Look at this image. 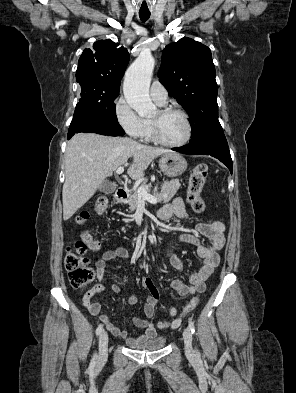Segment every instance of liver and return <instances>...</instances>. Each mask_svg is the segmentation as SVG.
Here are the masks:
<instances>
[{"label":"liver","mask_w":296,"mask_h":393,"mask_svg":"<svg viewBox=\"0 0 296 393\" xmlns=\"http://www.w3.org/2000/svg\"><path fill=\"white\" fill-rule=\"evenodd\" d=\"M166 153L171 151L142 145L127 137L75 134L67 143L64 159L63 219L71 218L118 167L129 166V176L141 179L149 164Z\"/></svg>","instance_id":"obj_1"}]
</instances>
